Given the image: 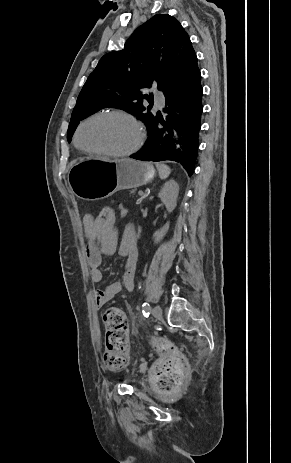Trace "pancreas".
I'll use <instances>...</instances> for the list:
<instances>
[{"mask_svg": "<svg viewBox=\"0 0 291 463\" xmlns=\"http://www.w3.org/2000/svg\"><path fill=\"white\" fill-rule=\"evenodd\" d=\"M128 196H129V197H132V198L137 197V195H136V190L133 189V190L129 191Z\"/></svg>", "mask_w": 291, "mask_h": 463, "instance_id": "1", "label": "pancreas"}]
</instances>
